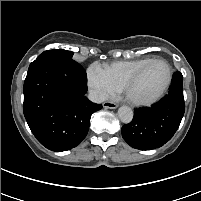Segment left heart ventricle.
<instances>
[{
    "instance_id": "obj_1",
    "label": "left heart ventricle",
    "mask_w": 201,
    "mask_h": 201,
    "mask_svg": "<svg viewBox=\"0 0 201 201\" xmlns=\"http://www.w3.org/2000/svg\"><path fill=\"white\" fill-rule=\"evenodd\" d=\"M168 77V68L163 62L151 64L130 89L132 97L149 99L157 94L165 85Z\"/></svg>"
}]
</instances>
